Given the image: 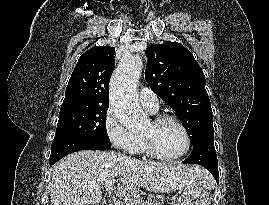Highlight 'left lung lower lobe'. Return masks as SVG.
I'll return each instance as SVG.
<instances>
[{
    "mask_svg": "<svg viewBox=\"0 0 269 205\" xmlns=\"http://www.w3.org/2000/svg\"><path fill=\"white\" fill-rule=\"evenodd\" d=\"M214 134L205 136L195 146L191 155L183 161L188 164H199L210 171V173L219 181L218 161L214 147Z\"/></svg>",
    "mask_w": 269,
    "mask_h": 205,
    "instance_id": "1",
    "label": "left lung lower lobe"
}]
</instances>
